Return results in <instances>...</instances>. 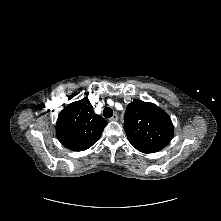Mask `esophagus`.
<instances>
[{
	"label": "esophagus",
	"mask_w": 221,
	"mask_h": 221,
	"mask_svg": "<svg viewBox=\"0 0 221 221\" xmlns=\"http://www.w3.org/2000/svg\"><path fill=\"white\" fill-rule=\"evenodd\" d=\"M109 120H110V121H116V120H118V115L115 113Z\"/></svg>",
	"instance_id": "34e87169"
}]
</instances>
